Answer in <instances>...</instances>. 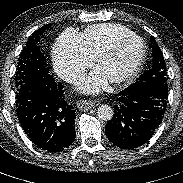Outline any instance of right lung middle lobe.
<instances>
[{"label": "right lung middle lobe", "mask_w": 183, "mask_h": 183, "mask_svg": "<svg viewBox=\"0 0 183 183\" xmlns=\"http://www.w3.org/2000/svg\"><path fill=\"white\" fill-rule=\"evenodd\" d=\"M50 27L51 24H47L35 31L21 51L15 74L16 89L24 83L50 75L46 65V57L39 47L40 37Z\"/></svg>", "instance_id": "dd1d6c3e"}]
</instances>
